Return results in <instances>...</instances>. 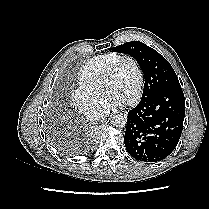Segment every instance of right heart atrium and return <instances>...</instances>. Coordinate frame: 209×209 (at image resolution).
<instances>
[{"label": "right heart atrium", "instance_id": "right-heart-atrium-1", "mask_svg": "<svg viewBox=\"0 0 209 209\" xmlns=\"http://www.w3.org/2000/svg\"><path fill=\"white\" fill-rule=\"evenodd\" d=\"M71 101L81 114L92 119L100 118L106 107L101 94L80 86L72 90Z\"/></svg>", "mask_w": 209, "mask_h": 209}]
</instances>
